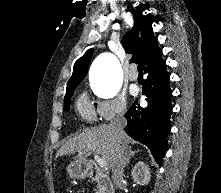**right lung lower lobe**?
I'll return each instance as SVG.
<instances>
[{
	"mask_svg": "<svg viewBox=\"0 0 221 193\" xmlns=\"http://www.w3.org/2000/svg\"><path fill=\"white\" fill-rule=\"evenodd\" d=\"M143 85L148 106L142 108L135 102L125 114L128 123L125 132L133 139L144 143L151 150L159 165L167 148V135L170 131L172 112L169 74L166 63L146 72Z\"/></svg>",
	"mask_w": 221,
	"mask_h": 193,
	"instance_id": "98d812e1",
	"label": "right lung lower lobe"
}]
</instances>
